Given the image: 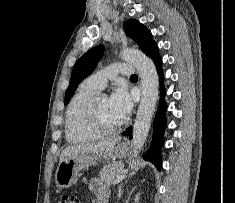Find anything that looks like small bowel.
<instances>
[{
    "mask_svg": "<svg viewBox=\"0 0 235 203\" xmlns=\"http://www.w3.org/2000/svg\"><path fill=\"white\" fill-rule=\"evenodd\" d=\"M89 188L98 197V200H99L98 203H100V201H102V200L107 199L108 191L98 179H96V178L91 179V181L89 183Z\"/></svg>",
    "mask_w": 235,
    "mask_h": 203,
    "instance_id": "1",
    "label": "small bowel"
}]
</instances>
